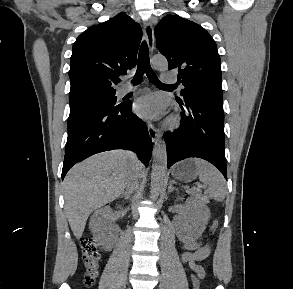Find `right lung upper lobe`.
Masks as SVG:
<instances>
[{
	"label": "right lung upper lobe",
	"instance_id": "cb5924a9",
	"mask_svg": "<svg viewBox=\"0 0 293 289\" xmlns=\"http://www.w3.org/2000/svg\"><path fill=\"white\" fill-rule=\"evenodd\" d=\"M141 37L140 25L125 13L79 35L70 58V102L115 94L119 76L136 66Z\"/></svg>",
	"mask_w": 293,
	"mask_h": 289
}]
</instances>
